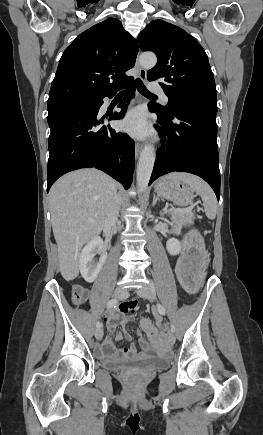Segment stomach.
Returning a JSON list of instances; mask_svg holds the SVG:
<instances>
[{
  "instance_id": "stomach-1",
  "label": "stomach",
  "mask_w": 263,
  "mask_h": 435,
  "mask_svg": "<svg viewBox=\"0 0 263 435\" xmlns=\"http://www.w3.org/2000/svg\"><path fill=\"white\" fill-rule=\"evenodd\" d=\"M156 192L165 199L172 200L178 204H188L193 199L191 190L181 182L162 178L155 186ZM185 250V260H180L176 272L180 280L181 288L185 294H198L199 288H204L205 281L200 279L204 274L205 262L207 260L206 239L203 233H196L195 230H186L182 235Z\"/></svg>"
}]
</instances>
